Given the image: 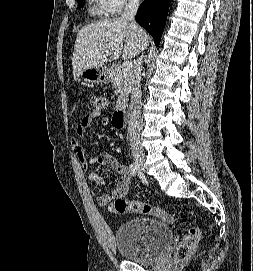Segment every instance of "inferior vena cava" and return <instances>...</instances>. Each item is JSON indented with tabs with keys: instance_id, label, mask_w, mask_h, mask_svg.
Here are the masks:
<instances>
[{
	"instance_id": "1",
	"label": "inferior vena cava",
	"mask_w": 253,
	"mask_h": 271,
	"mask_svg": "<svg viewBox=\"0 0 253 271\" xmlns=\"http://www.w3.org/2000/svg\"><path fill=\"white\" fill-rule=\"evenodd\" d=\"M140 0H128L125 5L122 19L131 21L134 25V18L137 13ZM142 70V59H138L135 71V81L131 89V99L128 109V135L132 153L142 152L140 141V125H141V94H140V80Z\"/></svg>"
}]
</instances>
